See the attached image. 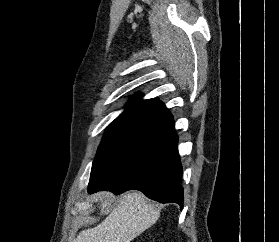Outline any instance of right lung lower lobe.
<instances>
[{
  "label": "right lung lower lobe",
  "instance_id": "right-lung-lower-lobe-1",
  "mask_svg": "<svg viewBox=\"0 0 279 242\" xmlns=\"http://www.w3.org/2000/svg\"><path fill=\"white\" fill-rule=\"evenodd\" d=\"M155 136L99 181H90L88 192L109 190L116 195L139 190L161 203L183 204L182 166L172 115L163 118Z\"/></svg>",
  "mask_w": 279,
  "mask_h": 242
}]
</instances>
